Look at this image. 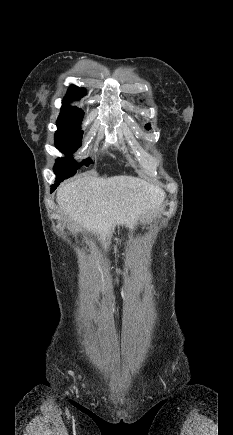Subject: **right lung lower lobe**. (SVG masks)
<instances>
[{
    "label": "right lung lower lobe",
    "mask_w": 233,
    "mask_h": 435,
    "mask_svg": "<svg viewBox=\"0 0 233 435\" xmlns=\"http://www.w3.org/2000/svg\"><path fill=\"white\" fill-rule=\"evenodd\" d=\"M59 184H60V181H56L55 184L51 185V192L54 191Z\"/></svg>",
    "instance_id": "obj_1"
}]
</instances>
